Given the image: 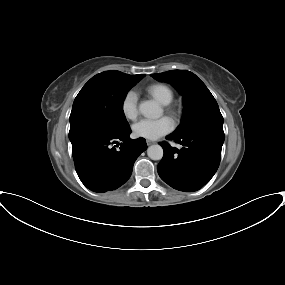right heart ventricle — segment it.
<instances>
[{"label": "right heart ventricle", "mask_w": 285, "mask_h": 285, "mask_svg": "<svg viewBox=\"0 0 285 285\" xmlns=\"http://www.w3.org/2000/svg\"><path fill=\"white\" fill-rule=\"evenodd\" d=\"M146 92L161 104L167 105L174 98L173 89L164 83H154L146 88Z\"/></svg>", "instance_id": "right-heart-ventricle-1"}]
</instances>
